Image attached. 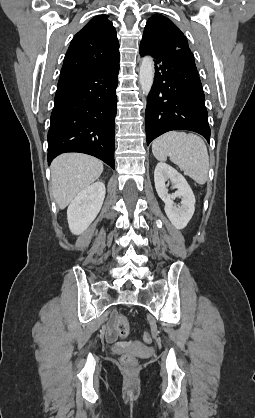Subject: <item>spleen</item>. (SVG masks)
Returning a JSON list of instances; mask_svg holds the SVG:
<instances>
[{"instance_id": "spleen-1", "label": "spleen", "mask_w": 255, "mask_h": 418, "mask_svg": "<svg viewBox=\"0 0 255 418\" xmlns=\"http://www.w3.org/2000/svg\"><path fill=\"white\" fill-rule=\"evenodd\" d=\"M152 152L159 161L167 157L185 175L203 185L208 180L209 155L203 139L193 133L171 131L156 138Z\"/></svg>"}]
</instances>
